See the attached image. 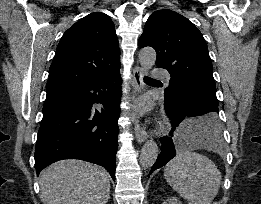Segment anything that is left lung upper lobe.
<instances>
[{
  "label": "left lung upper lobe",
  "mask_w": 261,
  "mask_h": 204,
  "mask_svg": "<svg viewBox=\"0 0 261 204\" xmlns=\"http://www.w3.org/2000/svg\"><path fill=\"white\" fill-rule=\"evenodd\" d=\"M139 46L157 53L156 66L171 75L165 98L185 89L198 91L218 104L212 62L201 32L187 18L169 9L148 18Z\"/></svg>",
  "instance_id": "5c2ea615"
}]
</instances>
